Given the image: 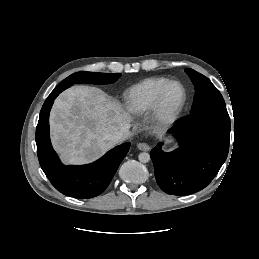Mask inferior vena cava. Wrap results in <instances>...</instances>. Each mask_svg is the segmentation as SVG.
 <instances>
[{
    "label": "inferior vena cava",
    "mask_w": 259,
    "mask_h": 259,
    "mask_svg": "<svg viewBox=\"0 0 259 259\" xmlns=\"http://www.w3.org/2000/svg\"><path fill=\"white\" fill-rule=\"evenodd\" d=\"M130 135L129 128H123L120 131H117L113 134H110L107 136V140L110 141L113 144L121 143L125 139H127Z\"/></svg>",
    "instance_id": "inferior-vena-cava-1"
}]
</instances>
